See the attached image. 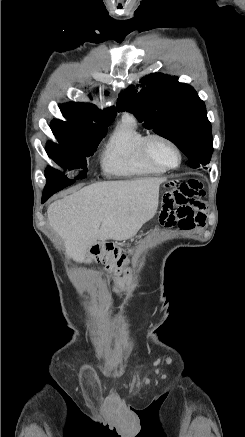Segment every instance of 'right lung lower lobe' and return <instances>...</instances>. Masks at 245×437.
Listing matches in <instances>:
<instances>
[{"label": "right lung lower lobe", "instance_id": "right-lung-lower-lobe-1", "mask_svg": "<svg viewBox=\"0 0 245 437\" xmlns=\"http://www.w3.org/2000/svg\"><path fill=\"white\" fill-rule=\"evenodd\" d=\"M72 183L70 181L66 180H57V181H51L47 182L46 186L42 193V203H44L49 197H51L56 192L60 191L61 189L71 185Z\"/></svg>", "mask_w": 245, "mask_h": 437}]
</instances>
